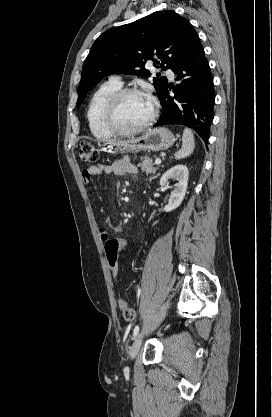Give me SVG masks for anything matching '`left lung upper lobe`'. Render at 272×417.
I'll list each match as a JSON object with an SVG mask.
<instances>
[{
	"instance_id": "obj_1",
	"label": "left lung upper lobe",
	"mask_w": 272,
	"mask_h": 417,
	"mask_svg": "<svg viewBox=\"0 0 272 417\" xmlns=\"http://www.w3.org/2000/svg\"><path fill=\"white\" fill-rule=\"evenodd\" d=\"M201 46L189 21L171 10L156 11L130 24L109 29L94 42L83 64L77 107L83 103L87 92L107 75L149 76L145 64L155 56L160 59H153L156 67L173 69ZM153 80L160 97L168 81L165 77Z\"/></svg>"
}]
</instances>
